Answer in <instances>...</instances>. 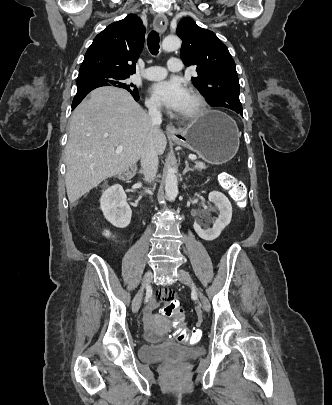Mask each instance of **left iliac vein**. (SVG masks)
Segmentation results:
<instances>
[{
  "label": "left iliac vein",
  "mask_w": 332,
  "mask_h": 405,
  "mask_svg": "<svg viewBox=\"0 0 332 405\" xmlns=\"http://www.w3.org/2000/svg\"><path fill=\"white\" fill-rule=\"evenodd\" d=\"M177 278L183 284L191 286L193 288V290L197 294V296H198L204 310L206 312H209L210 308H211L210 302H209L208 298L203 294V292L198 287H196L194 285L190 274L187 271L183 270V269H179L178 273H177Z\"/></svg>",
  "instance_id": "1"
}]
</instances>
